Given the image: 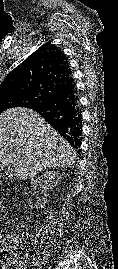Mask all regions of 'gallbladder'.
Returning <instances> with one entry per match:
<instances>
[{
    "label": "gallbladder",
    "instance_id": "bac80fb5",
    "mask_svg": "<svg viewBox=\"0 0 118 269\" xmlns=\"http://www.w3.org/2000/svg\"><path fill=\"white\" fill-rule=\"evenodd\" d=\"M5 172H6V174H9L11 172V169L7 168Z\"/></svg>",
    "mask_w": 118,
    "mask_h": 269
}]
</instances>
